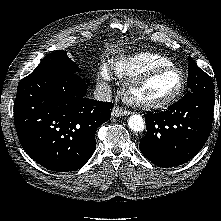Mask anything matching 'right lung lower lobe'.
Returning a JSON list of instances; mask_svg holds the SVG:
<instances>
[{
	"instance_id": "1",
	"label": "right lung lower lobe",
	"mask_w": 221,
	"mask_h": 221,
	"mask_svg": "<svg viewBox=\"0 0 221 221\" xmlns=\"http://www.w3.org/2000/svg\"><path fill=\"white\" fill-rule=\"evenodd\" d=\"M87 82L72 72L25 77L17 88L14 120L27 154L43 167L81 168L96 148L97 128L110 119V102L86 97Z\"/></svg>"
}]
</instances>
